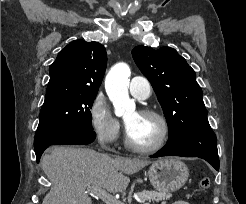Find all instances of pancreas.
<instances>
[{
    "mask_svg": "<svg viewBox=\"0 0 246 204\" xmlns=\"http://www.w3.org/2000/svg\"><path fill=\"white\" fill-rule=\"evenodd\" d=\"M137 196L143 201H155L160 202L164 200H168L172 197V194L166 191H141L137 193ZM130 196L128 200L130 201ZM149 204V203H146Z\"/></svg>",
    "mask_w": 246,
    "mask_h": 204,
    "instance_id": "obj_1",
    "label": "pancreas"
}]
</instances>
